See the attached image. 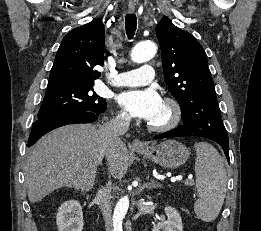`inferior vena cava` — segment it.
<instances>
[{"label":"inferior vena cava","mask_w":261,"mask_h":231,"mask_svg":"<svg viewBox=\"0 0 261 231\" xmlns=\"http://www.w3.org/2000/svg\"><path fill=\"white\" fill-rule=\"evenodd\" d=\"M130 125V117L118 116L115 119L107 122L100 128V133L104 141L105 156L107 160L114 153L115 149L122 143L120 136L124 135ZM112 182L109 180L105 187L99 191L100 209L105 221L106 231H113L112 224V204L110 194Z\"/></svg>","instance_id":"obj_1"}]
</instances>
